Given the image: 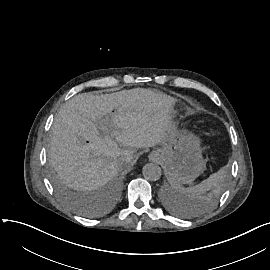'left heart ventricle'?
<instances>
[{"label":"left heart ventricle","instance_id":"left-heart-ventricle-1","mask_svg":"<svg viewBox=\"0 0 270 270\" xmlns=\"http://www.w3.org/2000/svg\"><path fill=\"white\" fill-rule=\"evenodd\" d=\"M185 155V151L183 150V151H179V156L180 157H182V156H184Z\"/></svg>","mask_w":270,"mask_h":270}]
</instances>
